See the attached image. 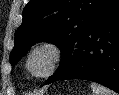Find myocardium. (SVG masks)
<instances>
[{
  "mask_svg": "<svg viewBox=\"0 0 119 95\" xmlns=\"http://www.w3.org/2000/svg\"><path fill=\"white\" fill-rule=\"evenodd\" d=\"M42 50L50 52L51 61L49 63L48 68L44 72L35 73L30 68V60L35 53ZM63 57H64V49L58 42L52 40L40 41L35 45H33L28 51L25 59V67L27 72L35 78L40 79L48 78L57 70L58 66L63 60Z\"/></svg>",
  "mask_w": 119,
  "mask_h": 95,
  "instance_id": "f54148a6",
  "label": "myocardium"
}]
</instances>
